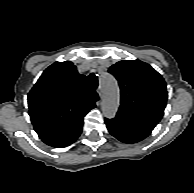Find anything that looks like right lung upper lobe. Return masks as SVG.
<instances>
[{
    "instance_id": "cb5924a9",
    "label": "right lung upper lobe",
    "mask_w": 194,
    "mask_h": 193,
    "mask_svg": "<svg viewBox=\"0 0 194 193\" xmlns=\"http://www.w3.org/2000/svg\"><path fill=\"white\" fill-rule=\"evenodd\" d=\"M98 99L72 62H55L28 94L30 119L41 139L53 137L82 123Z\"/></svg>"
}]
</instances>
